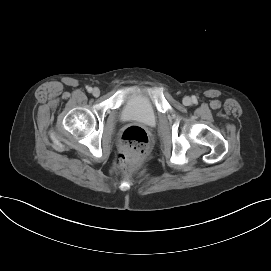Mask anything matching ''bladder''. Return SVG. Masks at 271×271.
I'll list each match as a JSON object with an SVG mask.
<instances>
[{
  "label": "bladder",
  "instance_id": "bladder-1",
  "mask_svg": "<svg viewBox=\"0 0 271 271\" xmlns=\"http://www.w3.org/2000/svg\"><path fill=\"white\" fill-rule=\"evenodd\" d=\"M120 118L124 121H136L153 126L157 122V111L148 96L136 93L129 96L124 102Z\"/></svg>",
  "mask_w": 271,
  "mask_h": 271
}]
</instances>
